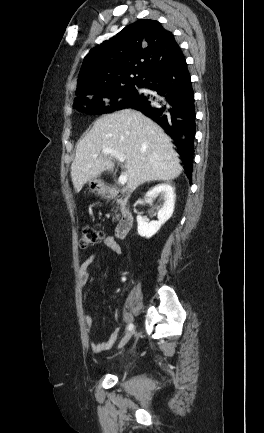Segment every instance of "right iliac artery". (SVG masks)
Returning a JSON list of instances; mask_svg holds the SVG:
<instances>
[{
  "label": "right iliac artery",
  "instance_id": "1",
  "mask_svg": "<svg viewBox=\"0 0 264 433\" xmlns=\"http://www.w3.org/2000/svg\"><path fill=\"white\" fill-rule=\"evenodd\" d=\"M134 328V325L132 323H129L127 326L128 331H132Z\"/></svg>",
  "mask_w": 264,
  "mask_h": 433
}]
</instances>
